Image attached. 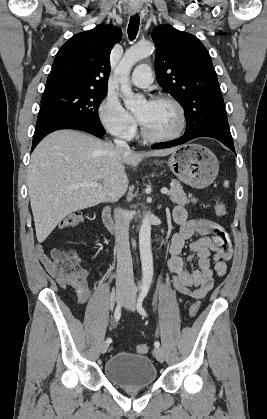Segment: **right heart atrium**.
I'll return each mask as SVG.
<instances>
[{
	"instance_id": "1",
	"label": "right heart atrium",
	"mask_w": 267,
	"mask_h": 419,
	"mask_svg": "<svg viewBox=\"0 0 267 419\" xmlns=\"http://www.w3.org/2000/svg\"><path fill=\"white\" fill-rule=\"evenodd\" d=\"M99 119L103 127L112 135L130 138L135 132L133 116L112 96H107L99 107Z\"/></svg>"
}]
</instances>
